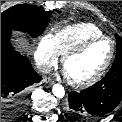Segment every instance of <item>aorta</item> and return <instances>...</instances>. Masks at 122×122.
I'll use <instances>...</instances> for the list:
<instances>
[{"label":"aorta","mask_w":122,"mask_h":122,"mask_svg":"<svg viewBox=\"0 0 122 122\" xmlns=\"http://www.w3.org/2000/svg\"><path fill=\"white\" fill-rule=\"evenodd\" d=\"M52 92L57 98H63L65 95V89L60 84H55L52 88Z\"/></svg>","instance_id":"obj_1"}]
</instances>
